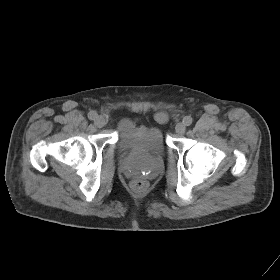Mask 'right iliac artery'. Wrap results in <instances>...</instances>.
I'll list each match as a JSON object with an SVG mask.
<instances>
[{
  "mask_svg": "<svg viewBox=\"0 0 280 280\" xmlns=\"http://www.w3.org/2000/svg\"><path fill=\"white\" fill-rule=\"evenodd\" d=\"M97 117H98V114H97L95 111H90V112L88 113V118H89L90 120H95Z\"/></svg>",
  "mask_w": 280,
  "mask_h": 280,
  "instance_id": "82829eb1",
  "label": "right iliac artery"
}]
</instances>
